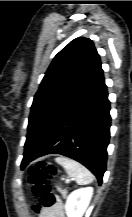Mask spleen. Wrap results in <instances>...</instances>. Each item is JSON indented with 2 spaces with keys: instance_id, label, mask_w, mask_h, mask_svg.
<instances>
[{
  "instance_id": "3e777b00",
  "label": "spleen",
  "mask_w": 132,
  "mask_h": 217,
  "mask_svg": "<svg viewBox=\"0 0 132 217\" xmlns=\"http://www.w3.org/2000/svg\"><path fill=\"white\" fill-rule=\"evenodd\" d=\"M55 161L66 170L68 175L76 180L77 184L86 185L93 182V174L79 162L64 156L57 157Z\"/></svg>"
}]
</instances>
